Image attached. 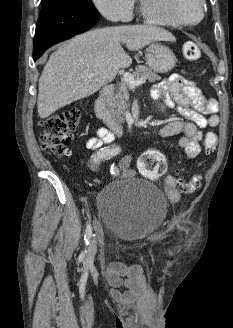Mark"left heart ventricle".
Instances as JSON below:
<instances>
[{
    "label": "left heart ventricle",
    "mask_w": 233,
    "mask_h": 328,
    "mask_svg": "<svg viewBox=\"0 0 233 328\" xmlns=\"http://www.w3.org/2000/svg\"><path fill=\"white\" fill-rule=\"evenodd\" d=\"M167 14L187 22L196 21L201 12L200 0H159Z\"/></svg>",
    "instance_id": "left-heart-ventricle-1"
}]
</instances>
